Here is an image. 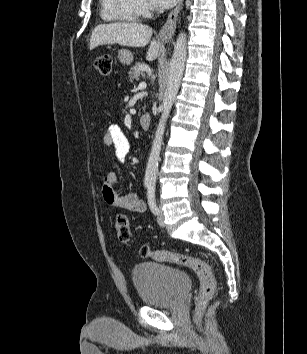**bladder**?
Instances as JSON below:
<instances>
[{"label":"bladder","mask_w":307,"mask_h":354,"mask_svg":"<svg viewBox=\"0 0 307 354\" xmlns=\"http://www.w3.org/2000/svg\"><path fill=\"white\" fill-rule=\"evenodd\" d=\"M132 280L146 304L165 308L181 304L191 285L183 270L154 261L137 264Z\"/></svg>","instance_id":"1"}]
</instances>
